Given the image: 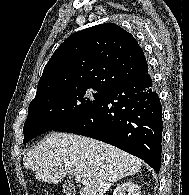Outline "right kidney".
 <instances>
[{
    "label": "right kidney",
    "instance_id": "obj_1",
    "mask_svg": "<svg viewBox=\"0 0 189 195\" xmlns=\"http://www.w3.org/2000/svg\"><path fill=\"white\" fill-rule=\"evenodd\" d=\"M113 195H141L140 186L132 181L124 182L117 186Z\"/></svg>",
    "mask_w": 189,
    "mask_h": 195
}]
</instances>
